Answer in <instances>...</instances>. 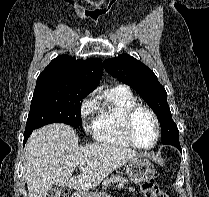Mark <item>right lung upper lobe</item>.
I'll return each instance as SVG.
<instances>
[{"mask_svg":"<svg viewBox=\"0 0 209 197\" xmlns=\"http://www.w3.org/2000/svg\"><path fill=\"white\" fill-rule=\"evenodd\" d=\"M102 73L100 59L76 60L68 55H60L39 75L37 83L76 84L94 90Z\"/></svg>","mask_w":209,"mask_h":197,"instance_id":"cb5924a9","label":"right lung upper lobe"}]
</instances>
